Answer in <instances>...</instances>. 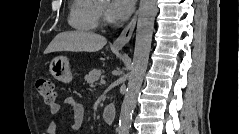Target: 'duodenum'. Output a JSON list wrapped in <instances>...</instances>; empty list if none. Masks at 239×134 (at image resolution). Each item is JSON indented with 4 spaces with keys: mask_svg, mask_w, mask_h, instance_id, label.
<instances>
[{
    "mask_svg": "<svg viewBox=\"0 0 239 134\" xmlns=\"http://www.w3.org/2000/svg\"><path fill=\"white\" fill-rule=\"evenodd\" d=\"M116 118V109L112 103H108L103 111V120L107 125H112Z\"/></svg>",
    "mask_w": 239,
    "mask_h": 134,
    "instance_id": "duodenum-1",
    "label": "duodenum"
}]
</instances>
